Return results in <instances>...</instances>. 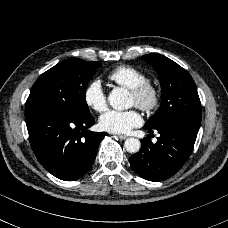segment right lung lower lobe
Returning <instances> with one entry per match:
<instances>
[{
    "label": "right lung lower lobe",
    "instance_id": "right-lung-lower-lobe-1",
    "mask_svg": "<svg viewBox=\"0 0 228 228\" xmlns=\"http://www.w3.org/2000/svg\"><path fill=\"white\" fill-rule=\"evenodd\" d=\"M30 145L41 165L55 177L74 181L92 167L106 132L88 130L93 116L79 117L44 108L25 113Z\"/></svg>",
    "mask_w": 228,
    "mask_h": 228
}]
</instances>
